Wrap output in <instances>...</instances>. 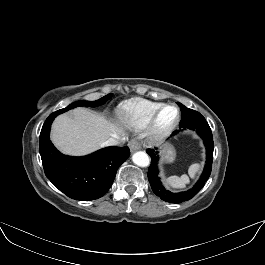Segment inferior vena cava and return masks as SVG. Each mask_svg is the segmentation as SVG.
<instances>
[{
  "label": "inferior vena cava",
  "instance_id": "inferior-vena-cava-1",
  "mask_svg": "<svg viewBox=\"0 0 265 265\" xmlns=\"http://www.w3.org/2000/svg\"><path fill=\"white\" fill-rule=\"evenodd\" d=\"M119 139L121 140H125L124 137H119L117 135H115L114 137H110L109 139H107L105 142H103V146H115L119 144Z\"/></svg>",
  "mask_w": 265,
  "mask_h": 265
}]
</instances>
